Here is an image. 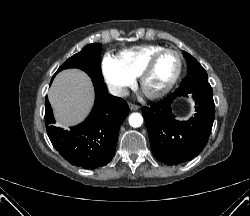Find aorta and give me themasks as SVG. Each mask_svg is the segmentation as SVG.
I'll return each instance as SVG.
<instances>
[{"instance_id": "762f6f07", "label": "aorta", "mask_w": 250, "mask_h": 216, "mask_svg": "<svg viewBox=\"0 0 250 216\" xmlns=\"http://www.w3.org/2000/svg\"><path fill=\"white\" fill-rule=\"evenodd\" d=\"M143 123V117L139 113H132L129 116V124L130 126L134 128H138L142 125Z\"/></svg>"}]
</instances>
